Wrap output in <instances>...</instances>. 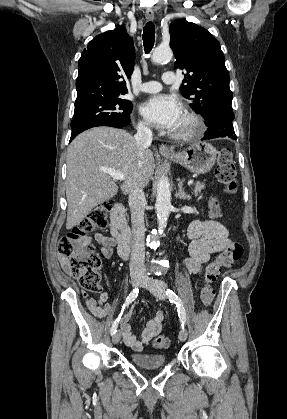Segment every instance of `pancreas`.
<instances>
[{
  "mask_svg": "<svg viewBox=\"0 0 287 419\" xmlns=\"http://www.w3.org/2000/svg\"><path fill=\"white\" fill-rule=\"evenodd\" d=\"M204 188H205V185H204L203 183L197 182V183L194 185V188H193L194 195H195V196H198V194H199V193H201V191H202Z\"/></svg>",
  "mask_w": 287,
  "mask_h": 419,
  "instance_id": "1",
  "label": "pancreas"
}]
</instances>
